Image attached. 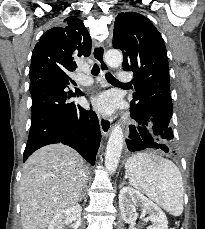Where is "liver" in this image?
<instances>
[{
	"label": "liver",
	"mask_w": 205,
	"mask_h": 229,
	"mask_svg": "<svg viewBox=\"0 0 205 229\" xmlns=\"http://www.w3.org/2000/svg\"><path fill=\"white\" fill-rule=\"evenodd\" d=\"M87 166L69 146L52 144L35 151L20 182L23 229H46L60 211L75 205L86 185Z\"/></svg>",
	"instance_id": "6515ba94"
}]
</instances>
